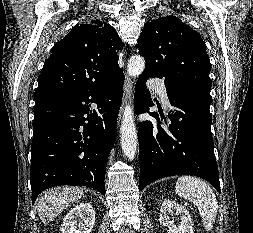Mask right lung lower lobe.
<instances>
[{
    "instance_id": "98d812e1",
    "label": "right lung lower lobe",
    "mask_w": 253,
    "mask_h": 233,
    "mask_svg": "<svg viewBox=\"0 0 253 233\" xmlns=\"http://www.w3.org/2000/svg\"><path fill=\"white\" fill-rule=\"evenodd\" d=\"M124 74L80 92L36 101L31 145L32 204L60 185L90 186L105 195V171L116 140ZM94 103L95 106H91Z\"/></svg>"
}]
</instances>
